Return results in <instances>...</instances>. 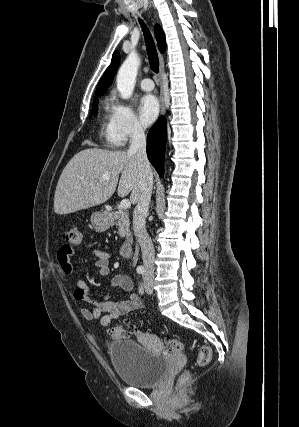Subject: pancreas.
<instances>
[{
  "mask_svg": "<svg viewBox=\"0 0 299 427\" xmlns=\"http://www.w3.org/2000/svg\"><path fill=\"white\" fill-rule=\"evenodd\" d=\"M115 225L116 227H118V233L120 237L126 238L129 241L132 240L129 216L121 208H119V216H118V220L115 222Z\"/></svg>",
  "mask_w": 299,
  "mask_h": 427,
  "instance_id": "1",
  "label": "pancreas"
}]
</instances>
